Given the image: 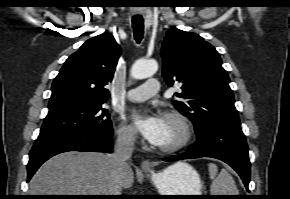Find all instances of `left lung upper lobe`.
I'll return each instance as SVG.
<instances>
[{
  "label": "left lung upper lobe",
  "instance_id": "1",
  "mask_svg": "<svg viewBox=\"0 0 290 199\" xmlns=\"http://www.w3.org/2000/svg\"><path fill=\"white\" fill-rule=\"evenodd\" d=\"M163 77L182 84L176 109L199 130L209 123L240 127L229 77L216 49L195 33L171 29L162 45Z\"/></svg>",
  "mask_w": 290,
  "mask_h": 199
}]
</instances>
